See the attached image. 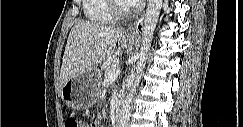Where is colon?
Segmentation results:
<instances>
[{
	"instance_id": "1",
	"label": "colon",
	"mask_w": 243,
	"mask_h": 127,
	"mask_svg": "<svg viewBox=\"0 0 243 127\" xmlns=\"http://www.w3.org/2000/svg\"><path fill=\"white\" fill-rule=\"evenodd\" d=\"M66 127H82V124L74 117L69 116L65 121Z\"/></svg>"
}]
</instances>
